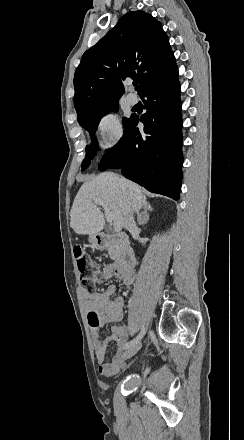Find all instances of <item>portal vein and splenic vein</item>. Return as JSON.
Segmentation results:
<instances>
[{"instance_id": "1", "label": "portal vein and splenic vein", "mask_w": 244, "mask_h": 440, "mask_svg": "<svg viewBox=\"0 0 244 440\" xmlns=\"http://www.w3.org/2000/svg\"><path fill=\"white\" fill-rule=\"evenodd\" d=\"M94 204H98V206H103V208H105V218L107 222H109V224H112L114 220L113 214L112 212H109V210H107V206L106 204H104V200H94Z\"/></svg>"}]
</instances>
